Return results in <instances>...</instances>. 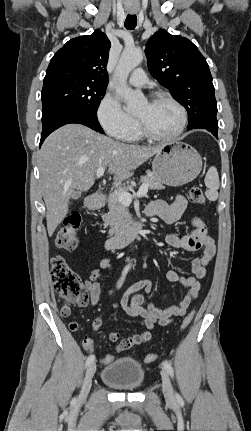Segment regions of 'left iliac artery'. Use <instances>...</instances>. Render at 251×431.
I'll list each match as a JSON object with an SVG mask.
<instances>
[{
	"label": "left iliac artery",
	"mask_w": 251,
	"mask_h": 431,
	"mask_svg": "<svg viewBox=\"0 0 251 431\" xmlns=\"http://www.w3.org/2000/svg\"><path fill=\"white\" fill-rule=\"evenodd\" d=\"M162 365H163L164 369L169 373V375L171 377H174V371H173L171 364L168 363L167 361H163Z\"/></svg>",
	"instance_id": "left-iliac-artery-1"
}]
</instances>
